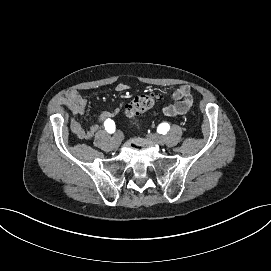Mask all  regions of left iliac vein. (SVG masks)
Returning a JSON list of instances; mask_svg holds the SVG:
<instances>
[{"instance_id":"1","label":"left iliac vein","mask_w":271,"mask_h":271,"mask_svg":"<svg viewBox=\"0 0 271 271\" xmlns=\"http://www.w3.org/2000/svg\"><path fill=\"white\" fill-rule=\"evenodd\" d=\"M147 140L150 141L151 143H156L159 145H163L165 143L164 136L159 134H148Z\"/></svg>"}]
</instances>
